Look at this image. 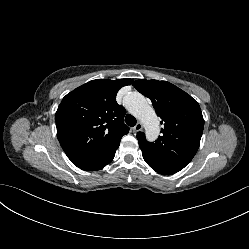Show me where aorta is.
<instances>
[{
    "mask_svg": "<svg viewBox=\"0 0 249 249\" xmlns=\"http://www.w3.org/2000/svg\"><path fill=\"white\" fill-rule=\"evenodd\" d=\"M126 107L133 116L143 123L147 138L151 141L155 140L160 132L159 118L145 97L138 92L129 94L126 100Z\"/></svg>",
    "mask_w": 249,
    "mask_h": 249,
    "instance_id": "obj_1",
    "label": "aorta"
}]
</instances>
